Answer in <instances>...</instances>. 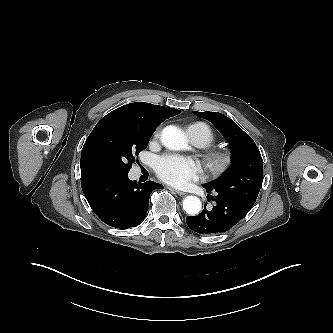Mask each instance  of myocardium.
Returning <instances> with one entry per match:
<instances>
[{"label":"myocardium","mask_w":333,"mask_h":333,"mask_svg":"<svg viewBox=\"0 0 333 333\" xmlns=\"http://www.w3.org/2000/svg\"><path fill=\"white\" fill-rule=\"evenodd\" d=\"M204 166L213 176L225 174L234 163V155L229 150H213L204 155Z\"/></svg>","instance_id":"myocardium-1"}]
</instances>
